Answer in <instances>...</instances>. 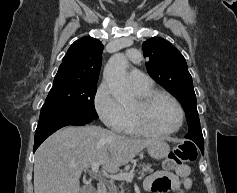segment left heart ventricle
Segmentation results:
<instances>
[{
  "label": "left heart ventricle",
  "mask_w": 237,
  "mask_h": 193,
  "mask_svg": "<svg viewBox=\"0 0 237 193\" xmlns=\"http://www.w3.org/2000/svg\"><path fill=\"white\" fill-rule=\"evenodd\" d=\"M137 102L132 107H136ZM144 122L151 128L167 131L175 128L179 122V112L174 103L166 97H159L148 107Z\"/></svg>",
  "instance_id": "left-heart-ventricle-1"
}]
</instances>
